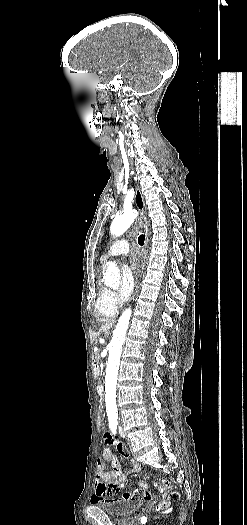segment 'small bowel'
Segmentation results:
<instances>
[{"label":"small bowel","mask_w":247,"mask_h":525,"mask_svg":"<svg viewBox=\"0 0 247 525\" xmlns=\"http://www.w3.org/2000/svg\"><path fill=\"white\" fill-rule=\"evenodd\" d=\"M103 441L106 443L107 447L103 449L102 458L98 459L96 462L97 473L95 487L96 492L92 496V503L94 506H114L117 503V498L115 495L119 492V489L124 485L126 481V474L123 471L122 464L118 456L112 451L110 446L117 448L119 453L123 456L127 455L126 449L122 446L121 443L117 441L114 435L110 431L103 433ZM110 462L112 464L113 470L108 471L105 469V463ZM132 469L131 473H134L140 470V463L137 460L131 461ZM146 482L143 479L138 480L135 490L141 492L143 487H145ZM158 486L162 488L169 494L171 490V482L169 480H162L158 483ZM146 495L143 498L141 493H125L122 496L123 500H130L132 504H141L143 499L146 502H150L152 497L150 496L151 491L146 489L144 491ZM166 505H169V502H166ZM158 512L163 510L161 505L156 507ZM166 510H169V507H166Z\"/></svg>","instance_id":"c3829d8e"}]
</instances>
